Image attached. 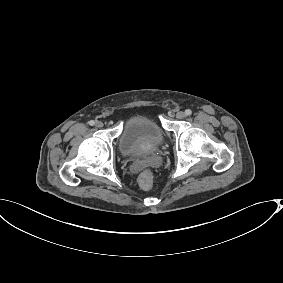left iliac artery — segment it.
Masks as SVG:
<instances>
[{
    "mask_svg": "<svg viewBox=\"0 0 283 283\" xmlns=\"http://www.w3.org/2000/svg\"><path fill=\"white\" fill-rule=\"evenodd\" d=\"M185 114H186L187 116H190V115L192 114V111H191L190 109H186V110H185Z\"/></svg>",
    "mask_w": 283,
    "mask_h": 283,
    "instance_id": "left-iliac-artery-1",
    "label": "left iliac artery"
}]
</instances>
